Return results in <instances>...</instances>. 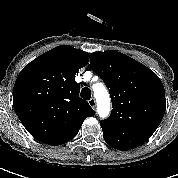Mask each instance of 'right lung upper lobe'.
<instances>
[{"label": "right lung upper lobe", "instance_id": "1", "mask_svg": "<svg viewBox=\"0 0 178 178\" xmlns=\"http://www.w3.org/2000/svg\"><path fill=\"white\" fill-rule=\"evenodd\" d=\"M88 61L89 53L61 45L37 57L18 75L13 88L14 109L38 141L64 144L95 114L79 97L80 86L74 78Z\"/></svg>", "mask_w": 178, "mask_h": 178}]
</instances>
